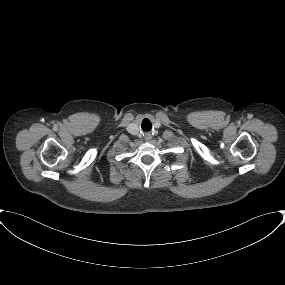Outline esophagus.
<instances>
[{"label": "esophagus", "instance_id": "34e87169", "mask_svg": "<svg viewBox=\"0 0 285 285\" xmlns=\"http://www.w3.org/2000/svg\"><path fill=\"white\" fill-rule=\"evenodd\" d=\"M152 138L150 133L145 134V140H150Z\"/></svg>", "mask_w": 285, "mask_h": 285}]
</instances>
